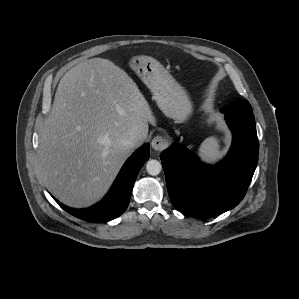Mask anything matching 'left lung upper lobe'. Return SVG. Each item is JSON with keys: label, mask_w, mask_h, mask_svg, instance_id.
<instances>
[{"label": "left lung upper lobe", "mask_w": 299, "mask_h": 299, "mask_svg": "<svg viewBox=\"0 0 299 299\" xmlns=\"http://www.w3.org/2000/svg\"><path fill=\"white\" fill-rule=\"evenodd\" d=\"M224 112H252L251 105L247 100H239L222 109Z\"/></svg>", "instance_id": "obj_1"}]
</instances>
